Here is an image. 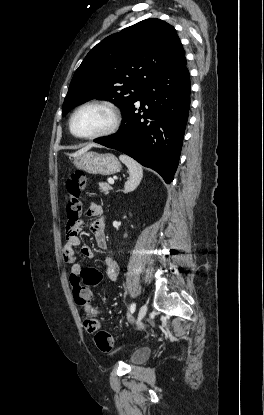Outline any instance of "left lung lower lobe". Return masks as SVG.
Returning a JSON list of instances; mask_svg holds the SVG:
<instances>
[{"label":"left lung lower lobe","instance_id":"left-lung-lower-lobe-1","mask_svg":"<svg viewBox=\"0 0 264 415\" xmlns=\"http://www.w3.org/2000/svg\"><path fill=\"white\" fill-rule=\"evenodd\" d=\"M140 101L139 112L135 103ZM190 107V75L183 57L140 92L123 114V125L94 140L158 172L169 184L177 169Z\"/></svg>","mask_w":264,"mask_h":415}]
</instances>
